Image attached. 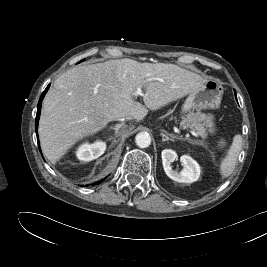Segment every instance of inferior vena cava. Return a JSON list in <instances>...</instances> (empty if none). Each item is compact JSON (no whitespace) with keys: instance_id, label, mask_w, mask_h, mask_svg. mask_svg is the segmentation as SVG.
<instances>
[{"instance_id":"1","label":"inferior vena cava","mask_w":267,"mask_h":267,"mask_svg":"<svg viewBox=\"0 0 267 267\" xmlns=\"http://www.w3.org/2000/svg\"><path fill=\"white\" fill-rule=\"evenodd\" d=\"M125 119H132V118H131V117H127V118H118V119H116V120L123 121V120H125Z\"/></svg>"}]
</instances>
